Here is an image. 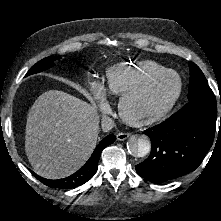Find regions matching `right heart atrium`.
Wrapping results in <instances>:
<instances>
[{"instance_id": "1", "label": "right heart atrium", "mask_w": 221, "mask_h": 221, "mask_svg": "<svg viewBox=\"0 0 221 221\" xmlns=\"http://www.w3.org/2000/svg\"><path fill=\"white\" fill-rule=\"evenodd\" d=\"M93 98L102 114H107L110 112L106 97V89L102 84L93 82L90 86Z\"/></svg>"}]
</instances>
